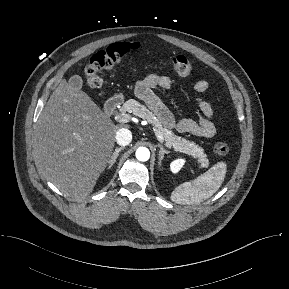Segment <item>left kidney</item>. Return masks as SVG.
Returning <instances> with one entry per match:
<instances>
[{"mask_svg":"<svg viewBox=\"0 0 289 289\" xmlns=\"http://www.w3.org/2000/svg\"><path fill=\"white\" fill-rule=\"evenodd\" d=\"M185 163V160L183 159H177V160H174L171 164H170V169L171 171L176 174L180 171V169L183 167Z\"/></svg>","mask_w":289,"mask_h":289,"instance_id":"obj_1","label":"left kidney"}]
</instances>
